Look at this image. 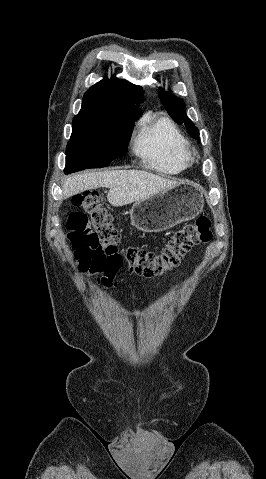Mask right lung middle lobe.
Returning a JSON list of instances; mask_svg holds the SVG:
<instances>
[{
	"mask_svg": "<svg viewBox=\"0 0 266 479\" xmlns=\"http://www.w3.org/2000/svg\"><path fill=\"white\" fill-rule=\"evenodd\" d=\"M134 121L120 119H73L66 147L65 174L87 168H102L125 154Z\"/></svg>",
	"mask_w": 266,
	"mask_h": 479,
	"instance_id": "dd1d6c3e",
	"label": "right lung middle lobe"
}]
</instances>
